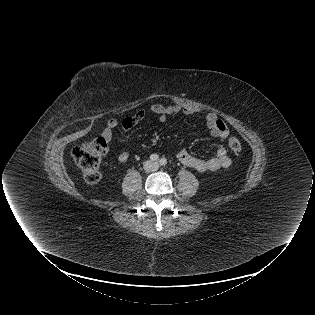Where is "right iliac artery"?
Segmentation results:
<instances>
[{
  "label": "right iliac artery",
  "mask_w": 315,
  "mask_h": 315,
  "mask_svg": "<svg viewBox=\"0 0 315 315\" xmlns=\"http://www.w3.org/2000/svg\"><path fill=\"white\" fill-rule=\"evenodd\" d=\"M158 159H159V157H158V155H156V154H152V155L150 156V160L153 161V162L158 161Z\"/></svg>",
  "instance_id": "right-iliac-artery-1"
}]
</instances>
